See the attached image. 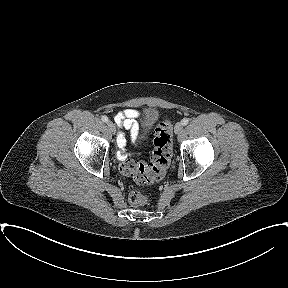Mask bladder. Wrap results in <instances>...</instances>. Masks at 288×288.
<instances>
[{
	"instance_id": "1",
	"label": "bladder",
	"mask_w": 288,
	"mask_h": 288,
	"mask_svg": "<svg viewBox=\"0 0 288 288\" xmlns=\"http://www.w3.org/2000/svg\"><path fill=\"white\" fill-rule=\"evenodd\" d=\"M159 118V111L155 108H148L144 112L143 127L148 132Z\"/></svg>"
}]
</instances>
